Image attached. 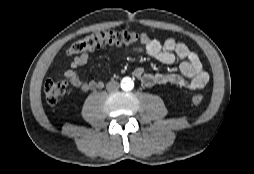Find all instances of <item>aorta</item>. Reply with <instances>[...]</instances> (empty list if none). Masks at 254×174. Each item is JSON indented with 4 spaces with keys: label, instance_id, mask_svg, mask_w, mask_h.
Wrapping results in <instances>:
<instances>
[{
    "label": "aorta",
    "instance_id": "aorta-1",
    "mask_svg": "<svg viewBox=\"0 0 254 174\" xmlns=\"http://www.w3.org/2000/svg\"><path fill=\"white\" fill-rule=\"evenodd\" d=\"M133 87H134V83L130 78L126 77L122 79L121 88L123 90H131Z\"/></svg>",
    "mask_w": 254,
    "mask_h": 174
}]
</instances>
